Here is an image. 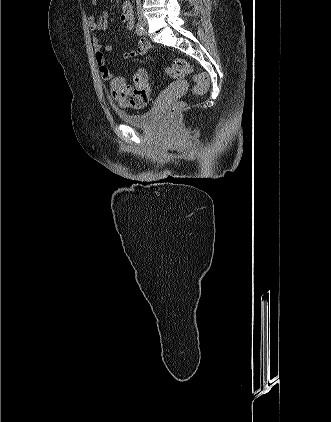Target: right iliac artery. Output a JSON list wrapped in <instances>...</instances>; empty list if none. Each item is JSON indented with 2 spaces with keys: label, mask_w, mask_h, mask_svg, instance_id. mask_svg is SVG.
I'll return each instance as SVG.
<instances>
[{
  "label": "right iliac artery",
  "mask_w": 331,
  "mask_h": 422,
  "mask_svg": "<svg viewBox=\"0 0 331 422\" xmlns=\"http://www.w3.org/2000/svg\"><path fill=\"white\" fill-rule=\"evenodd\" d=\"M136 32L140 36L145 35V30H144L143 26L141 25V23L136 24Z\"/></svg>",
  "instance_id": "obj_1"
}]
</instances>
